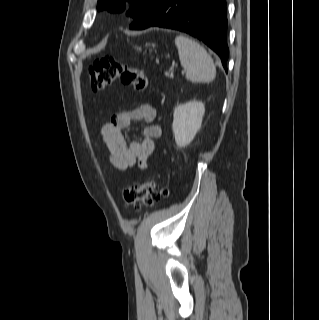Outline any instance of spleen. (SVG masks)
I'll list each match as a JSON object with an SVG mask.
<instances>
[{"mask_svg":"<svg viewBox=\"0 0 319 320\" xmlns=\"http://www.w3.org/2000/svg\"><path fill=\"white\" fill-rule=\"evenodd\" d=\"M179 59L186 71V78L192 82H211L216 76V68L211 56L197 42L178 35L175 38Z\"/></svg>","mask_w":319,"mask_h":320,"instance_id":"spleen-1","label":"spleen"}]
</instances>
